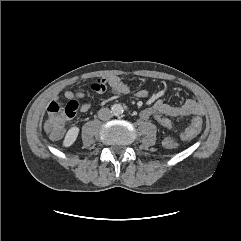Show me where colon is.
Masks as SVG:
<instances>
[{
	"label": "colon",
	"mask_w": 241,
	"mask_h": 241,
	"mask_svg": "<svg viewBox=\"0 0 241 241\" xmlns=\"http://www.w3.org/2000/svg\"><path fill=\"white\" fill-rule=\"evenodd\" d=\"M91 89L98 93L105 92V82L99 79L91 84ZM78 106V102L75 100L69 101L66 105L57 101L49 104L44 129L51 138L57 139L62 136L66 122L76 114ZM153 118L161 126L173 129L171 119L165 115L155 113L153 114ZM202 127L203 122L201 118L195 117L192 119L191 124L180 132L181 136L186 139L194 138L201 132ZM164 145L169 149H175L178 147V142L173 138H166L164 140Z\"/></svg>",
	"instance_id": "obj_1"
}]
</instances>
